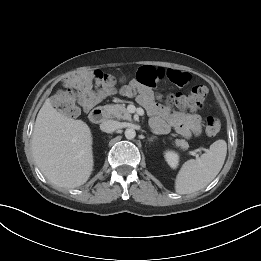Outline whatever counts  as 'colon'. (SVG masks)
<instances>
[{
    "label": "colon",
    "instance_id": "obj_1",
    "mask_svg": "<svg viewBox=\"0 0 261 261\" xmlns=\"http://www.w3.org/2000/svg\"><path fill=\"white\" fill-rule=\"evenodd\" d=\"M93 81L97 90L114 86L117 79L110 74L102 71H95L93 73ZM207 95L206 87L202 85L195 86L187 95L181 93H170L164 97V101L168 106L178 108L180 110H195L203 105ZM54 105L62 113L67 116H75L78 113L76 105V97L70 89L60 90L54 96ZM221 128L220 120L216 117L209 116L206 119V133L208 135H216Z\"/></svg>",
    "mask_w": 261,
    "mask_h": 261
}]
</instances>
